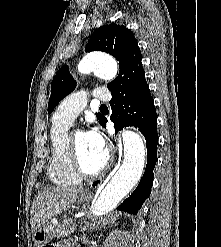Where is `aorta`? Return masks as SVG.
Segmentation results:
<instances>
[{"mask_svg": "<svg viewBox=\"0 0 221 247\" xmlns=\"http://www.w3.org/2000/svg\"><path fill=\"white\" fill-rule=\"evenodd\" d=\"M89 69L93 70L101 78L111 80L117 74V62L107 54L91 53L78 65L80 72H85ZM122 137L123 161L95 202L94 214L96 216L106 214L114 209L134 188L143 172L145 146L142 137L132 130H124Z\"/></svg>", "mask_w": 221, "mask_h": 247, "instance_id": "762f6f07", "label": "aorta"}]
</instances>
